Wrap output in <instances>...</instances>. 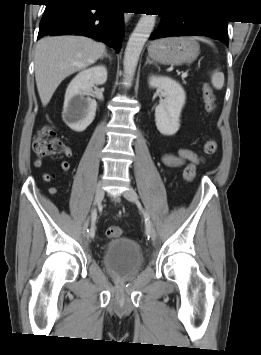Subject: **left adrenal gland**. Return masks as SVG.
I'll use <instances>...</instances> for the list:
<instances>
[{
  "mask_svg": "<svg viewBox=\"0 0 261 355\" xmlns=\"http://www.w3.org/2000/svg\"><path fill=\"white\" fill-rule=\"evenodd\" d=\"M147 64H154V65H156V63H154L153 61H151L148 57H147V61H146V63H145V66H146Z\"/></svg>",
  "mask_w": 261,
  "mask_h": 355,
  "instance_id": "a2214340",
  "label": "left adrenal gland"
}]
</instances>
